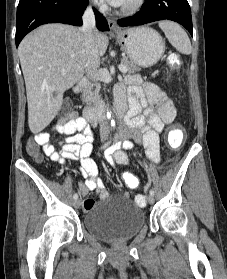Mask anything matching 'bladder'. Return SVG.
Segmentation results:
<instances>
[{
	"instance_id": "obj_1",
	"label": "bladder",
	"mask_w": 227,
	"mask_h": 279,
	"mask_svg": "<svg viewBox=\"0 0 227 279\" xmlns=\"http://www.w3.org/2000/svg\"><path fill=\"white\" fill-rule=\"evenodd\" d=\"M144 224V211L125 197H111L99 201L84 217L87 233L105 241L132 237Z\"/></svg>"
}]
</instances>
